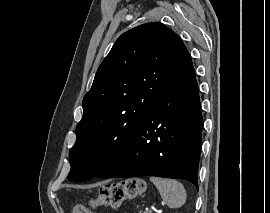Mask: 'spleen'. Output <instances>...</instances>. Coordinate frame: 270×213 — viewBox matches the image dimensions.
<instances>
[{
  "mask_svg": "<svg viewBox=\"0 0 270 213\" xmlns=\"http://www.w3.org/2000/svg\"><path fill=\"white\" fill-rule=\"evenodd\" d=\"M150 181L155 184L163 201L170 208H179L185 204L186 190L177 180L150 177Z\"/></svg>",
  "mask_w": 270,
  "mask_h": 213,
  "instance_id": "1",
  "label": "spleen"
}]
</instances>
